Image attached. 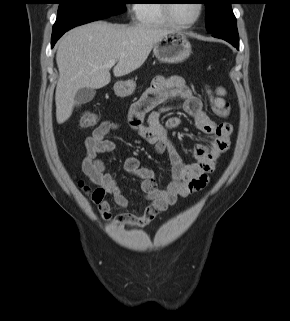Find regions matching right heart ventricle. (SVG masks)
Returning <instances> with one entry per match:
<instances>
[{"instance_id":"1","label":"right heart ventricle","mask_w":290,"mask_h":321,"mask_svg":"<svg viewBox=\"0 0 290 321\" xmlns=\"http://www.w3.org/2000/svg\"><path fill=\"white\" fill-rule=\"evenodd\" d=\"M162 6L163 0H139V3L134 5L136 22L147 26L170 25Z\"/></svg>"}]
</instances>
